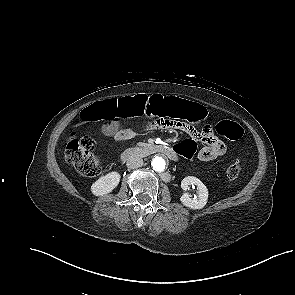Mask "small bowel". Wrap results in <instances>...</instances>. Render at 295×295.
Wrapping results in <instances>:
<instances>
[{
    "mask_svg": "<svg viewBox=\"0 0 295 295\" xmlns=\"http://www.w3.org/2000/svg\"><path fill=\"white\" fill-rule=\"evenodd\" d=\"M158 127L174 128L177 131L188 134L193 140L201 141L203 146L197 153L200 161L208 162L215 160L226 152L225 144L214 135L210 125L205 126L202 131H197L192 125L173 121L169 118H155L149 122L145 129H155ZM102 133L113 138L118 143H125L135 136V131L131 128H124L119 122L104 123L101 128Z\"/></svg>",
    "mask_w": 295,
    "mask_h": 295,
    "instance_id": "small-bowel-1",
    "label": "small bowel"
}]
</instances>
